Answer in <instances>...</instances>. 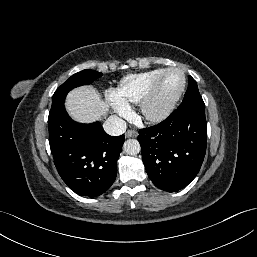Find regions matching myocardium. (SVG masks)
<instances>
[{"label":"myocardium","mask_w":257,"mask_h":257,"mask_svg":"<svg viewBox=\"0 0 257 257\" xmlns=\"http://www.w3.org/2000/svg\"><path fill=\"white\" fill-rule=\"evenodd\" d=\"M170 72H178L182 75L183 82L180 91L177 93V95L172 98L170 101L163 105L157 104V97L158 93L162 84L163 79L165 76ZM187 84V79L185 73L176 67H171L165 69L154 81L153 85L147 92V94L144 96L142 101L140 102V109L143 118L152 123H159L164 121L174 110L177 103L181 99L182 95L185 92Z\"/></svg>","instance_id":"obj_1"}]
</instances>
